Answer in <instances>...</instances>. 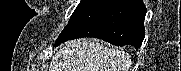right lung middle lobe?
<instances>
[{
	"label": "right lung middle lobe",
	"instance_id": "right-lung-middle-lobe-1",
	"mask_svg": "<svg viewBox=\"0 0 181 71\" xmlns=\"http://www.w3.org/2000/svg\"><path fill=\"white\" fill-rule=\"evenodd\" d=\"M94 1L95 0H82L80 2V4L77 6L76 10L71 15V18H70L69 22L71 20H73L76 16L81 14L85 9H87Z\"/></svg>",
	"mask_w": 181,
	"mask_h": 71
}]
</instances>
